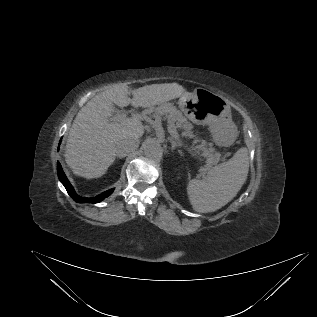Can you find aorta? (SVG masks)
Returning a JSON list of instances; mask_svg holds the SVG:
<instances>
[{"label":"aorta","instance_id":"1","mask_svg":"<svg viewBox=\"0 0 317 317\" xmlns=\"http://www.w3.org/2000/svg\"><path fill=\"white\" fill-rule=\"evenodd\" d=\"M146 156L150 158H158L162 155V147L159 141L155 139L147 140L143 145Z\"/></svg>","mask_w":317,"mask_h":317}]
</instances>
